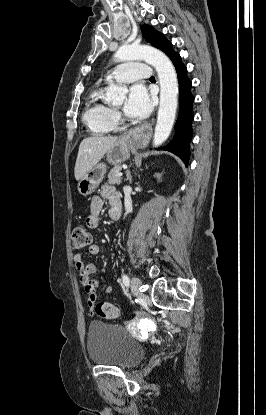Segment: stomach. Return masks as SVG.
<instances>
[{
	"mask_svg": "<svg viewBox=\"0 0 266 415\" xmlns=\"http://www.w3.org/2000/svg\"><path fill=\"white\" fill-rule=\"evenodd\" d=\"M132 140L129 137L118 139L106 152V160L112 165H118L126 161L130 156ZM107 172L105 163H99L78 181L77 189L80 195L88 196L102 182Z\"/></svg>",
	"mask_w": 266,
	"mask_h": 415,
	"instance_id": "0dacf381",
	"label": "stomach"
}]
</instances>
